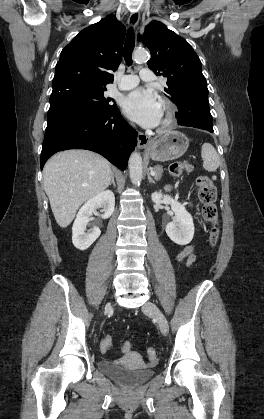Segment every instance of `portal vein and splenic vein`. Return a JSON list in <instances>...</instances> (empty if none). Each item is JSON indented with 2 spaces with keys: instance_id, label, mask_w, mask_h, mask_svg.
Segmentation results:
<instances>
[{
  "instance_id": "portal-vein-and-splenic-vein-1",
  "label": "portal vein and splenic vein",
  "mask_w": 264,
  "mask_h": 419,
  "mask_svg": "<svg viewBox=\"0 0 264 419\" xmlns=\"http://www.w3.org/2000/svg\"><path fill=\"white\" fill-rule=\"evenodd\" d=\"M151 175L155 176V171L151 169Z\"/></svg>"
}]
</instances>
